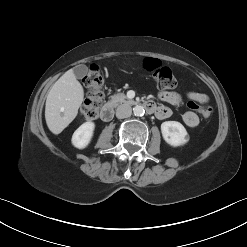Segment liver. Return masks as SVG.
<instances>
[{"instance_id": "obj_1", "label": "liver", "mask_w": 247, "mask_h": 247, "mask_svg": "<svg viewBox=\"0 0 247 247\" xmlns=\"http://www.w3.org/2000/svg\"><path fill=\"white\" fill-rule=\"evenodd\" d=\"M84 90L72 69L51 87L45 104V120L53 134H60L77 116Z\"/></svg>"}]
</instances>
